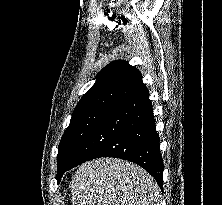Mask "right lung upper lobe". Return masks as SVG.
I'll return each instance as SVG.
<instances>
[{
	"instance_id": "1",
	"label": "right lung upper lobe",
	"mask_w": 222,
	"mask_h": 205,
	"mask_svg": "<svg viewBox=\"0 0 222 205\" xmlns=\"http://www.w3.org/2000/svg\"><path fill=\"white\" fill-rule=\"evenodd\" d=\"M143 87L142 76L135 67L125 61H114L98 73L97 81L80 99L73 116L94 110H110Z\"/></svg>"
}]
</instances>
